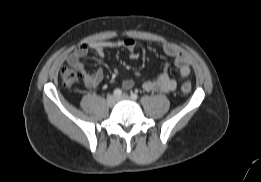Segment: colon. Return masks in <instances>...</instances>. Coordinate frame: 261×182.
<instances>
[{"label":"colon","mask_w":261,"mask_h":182,"mask_svg":"<svg viewBox=\"0 0 261 182\" xmlns=\"http://www.w3.org/2000/svg\"><path fill=\"white\" fill-rule=\"evenodd\" d=\"M61 80H62V84L65 87L71 88L78 82L79 73L73 69L64 67L61 70ZM190 91H191V84L189 82H184L181 86V92L183 94H189Z\"/></svg>","instance_id":"obj_1"}]
</instances>
